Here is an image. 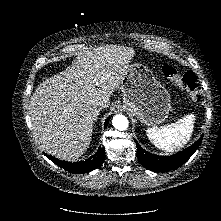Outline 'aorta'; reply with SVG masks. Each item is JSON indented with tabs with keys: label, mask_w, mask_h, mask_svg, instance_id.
Here are the masks:
<instances>
[{
	"label": "aorta",
	"mask_w": 221,
	"mask_h": 221,
	"mask_svg": "<svg viewBox=\"0 0 221 221\" xmlns=\"http://www.w3.org/2000/svg\"><path fill=\"white\" fill-rule=\"evenodd\" d=\"M112 124L115 129L123 131L128 128L129 121L126 116L117 114L113 117Z\"/></svg>",
	"instance_id": "obj_1"
}]
</instances>
